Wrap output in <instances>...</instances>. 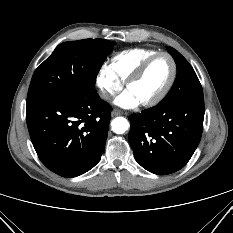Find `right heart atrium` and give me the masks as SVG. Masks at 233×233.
<instances>
[{
    "mask_svg": "<svg viewBox=\"0 0 233 233\" xmlns=\"http://www.w3.org/2000/svg\"><path fill=\"white\" fill-rule=\"evenodd\" d=\"M96 85L104 100L112 99L122 89V83L112 73L108 65H102L98 70Z\"/></svg>",
    "mask_w": 233,
    "mask_h": 233,
    "instance_id": "d8ad5b80",
    "label": "right heart atrium"
}]
</instances>
